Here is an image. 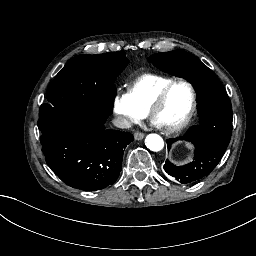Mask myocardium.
<instances>
[{
	"label": "myocardium",
	"instance_id": "1",
	"mask_svg": "<svg viewBox=\"0 0 256 256\" xmlns=\"http://www.w3.org/2000/svg\"><path fill=\"white\" fill-rule=\"evenodd\" d=\"M178 83H184L186 84L191 92V96H192V104H191V108L189 110V112L187 113V115L185 116V118L178 123L177 125H175L170 131L165 132L163 131L166 135H171L179 130H181L182 128H184L189 121L191 120V118L193 117L196 108H197V98H196V91L194 89V86L192 85V83L184 78V77H178L175 80H173L169 85H167L156 97V99L151 102L150 104H148L144 110L145 112L152 117V112L156 109H158L159 107L162 106V104L165 102V100L167 99L170 90Z\"/></svg>",
	"mask_w": 256,
	"mask_h": 256
}]
</instances>
